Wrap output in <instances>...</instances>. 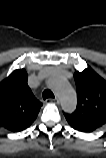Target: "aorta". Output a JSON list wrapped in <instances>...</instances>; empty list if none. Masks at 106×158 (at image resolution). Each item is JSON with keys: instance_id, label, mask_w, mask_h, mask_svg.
<instances>
[{"instance_id": "obj_1", "label": "aorta", "mask_w": 106, "mask_h": 158, "mask_svg": "<svg viewBox=\"0 0 106 158\" xmlns=\"http://www.w3.org/2000/svg\"><path fill=\"white\" fill-rule=\"evenodd\" d=\"M48 85L58 94L61 107L65 112L71 113L76 109V93L64 78L52 75L48 79Z\"/></svg>"}]
</instances>
